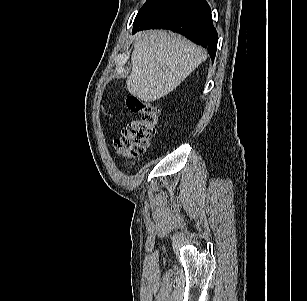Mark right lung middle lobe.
<instances>
[{"mask_svg":"<svg viewBox=\"0 0 307 301\" xmlns=\"http://www.w3.org/2000/svg\"><path fill=\"white\" fill-rule=\"evenodd\" d=\"M166 1L167 0H147L146 3L139 10L134 22L145 17L146 15L160 7L162 4H164Z\"/></svg>","mask_w":307,"mask_h":301,"instance_id":"dd1d6c3e","label":"right lung middle lobe"}]
</instances>
